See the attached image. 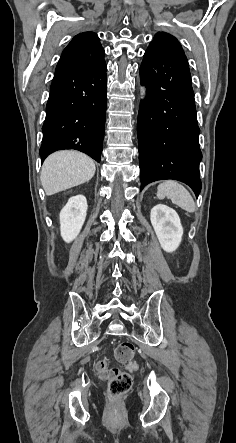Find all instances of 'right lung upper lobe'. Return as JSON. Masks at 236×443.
<instances>
[{
  "label": "right lung upper lobe",
  "mask_w": 236,
  "mask_h": 443,
  "mask_svg": "<svg viewBox=\"0 0 236 443\" xmlns=\"http://www.w3.org/2000/svg\"><path fill=\"white\" fill-rule=\"evenodd\" d=\"M104 55L105 51L97 34L83 32L76 35L63 50L57 66L98 67L105 63Z\"/></svg>",
  "instance_id": "cb5924a9"
}]
</instances>
